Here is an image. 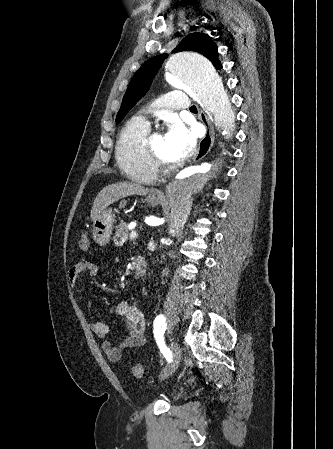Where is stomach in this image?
<instances>
[{
	"label": "stomach",
	"mask_w": 333,
	"mask_h": 449,
	"mask_svg": "<svg viewBox=\"0 0 333 449\" xmlns=\"http://www.w3.org/2000/svg\"><path fill=\"white\" fill-rule=\"evenodd\" d=\"M161 198L148 197L150 206H157ZM115 216L111 209H104L101 214L93 220V239L101 246L106 245L111 238L114 229Z\"/></svg>",
	"instance_id": "0dacf381"
}]
</instances>
